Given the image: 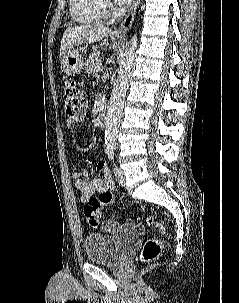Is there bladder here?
I'll use <instances>...</instances> for the list:
<instances>
[{"label": "bladder", "instance_id": "bladder-1", "mask_svg": "<svg viewBox=\"0 0 239 303\" xmlns=\"http://www.w3.org/2000/svg\"><path fill=\"white\" fill-rule=\"evenodd\" d=\"M136 238L135 233H89L83 241L86 257L92 263L107 266L117 265Z\"/></svg>", "mask_w": 239, "mask_h": 303}]
</instances>
